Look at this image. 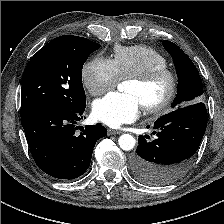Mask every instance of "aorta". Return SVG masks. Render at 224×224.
<instances>
[{
  "mask_svg": "<svg viewBox=\"0 0 224 224\" xmlns=\"http://www.w3.org/2000/svg\"><path fill=\"white\" fill-rule=\"evenodd\" d=\"M118 143L122 150L129 151L134 148L136 142L132 135L123 134L119 137Z\"/></svg>",
  "mask_w": 224,
  "mask_h": 224,
  "instance_id": "1",
  "label": "aorta"
}]
</instances>
